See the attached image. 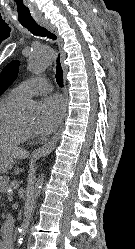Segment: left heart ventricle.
Instances as JSON below:
<instances>
[{"mask_svg": "<svg viewBox=\"0 0 135 249\" xmlns=\"http://www.w3.org/2000/svg\"><path fill=\"white\" fill-rule=\"evenodd\" d=\"M20 120L26 126L32 127L34 125V120L33 119H30V118H21Z\"/></svg>", "mask_w": 135, "mask_h": 249, "instance_id": "1", "label": "left heart ventricle"}]
</instances>
